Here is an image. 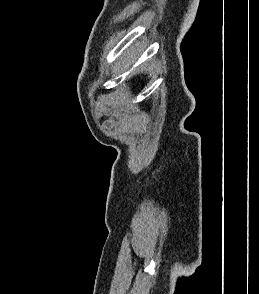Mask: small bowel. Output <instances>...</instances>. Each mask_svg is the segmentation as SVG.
Here are the masks:
<instances>
[{"label": "small bowel", "instance_id": "obj_1", "mask_svg": "<svg viewBox=\"0 0 259 294\" xmlns=\"http://www.w3.org/2000/svg\"><path fill=\"white\" fill-rule=\"evenodd\" d=\"M115 125H116V123L114 121H109L107 123V126H109V127H114Z\"/></svg>", "mask_w": 259, "mask_h": 294}]
</instances>
